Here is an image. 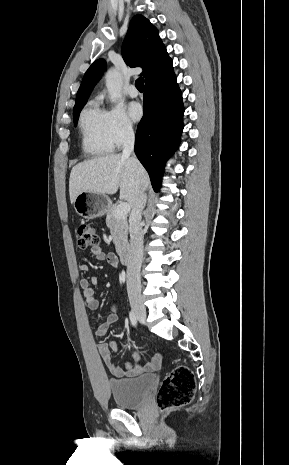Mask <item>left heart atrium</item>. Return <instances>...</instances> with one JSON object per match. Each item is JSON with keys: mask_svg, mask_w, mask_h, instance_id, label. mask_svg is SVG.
Masks as SVG:
<instances>
[{"mask_svg": "<svg viewBox=\"0 0 289 465\" xmlns=\"http://www.w3.org/2000/svg\"><path fill=\"white\" fill-rule=\"evenodd\" d=\"M128 112H129V115H130L131 119L133 121H135V122L140 121L142 116H143L142 107L137 102L130 103V105L128 107Z\"/></svg>", "mask_w": 289, "mask_h": 465, "instance_id": "left-heart-atrium-1", "label": "left heart atrium"}]
</instances>
